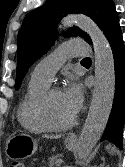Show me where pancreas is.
I'll return each instance as SVG.
<instances>
[{
	"instance_id": "obj_1",
	"label": "pancreas",
	"mask_w": 125,
	"mask_h": 167,
	"mask_svg": "<svg viewBox=\"0 0 125 167\" xmlns=\"http://www.w3.org/2000/svg\"><path fill=\"white\" fill-rule=\"evenodd\" d=\"M58 160H60V158L58 156H52L51 158H49V166L50 167H59V163L57 162Z\"/></svg>"
}]
</instances>
